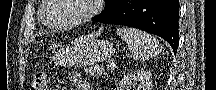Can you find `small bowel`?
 Segmentation results:
<instances>
[{
  "instance_id": "small-bowel-1",
  "label": "small bowel",
  "mask_w": 216,
  "mask_h": 90,
  "mask_svg": "<svg viewBox=\"0 0 216 90\" xmlns=\"http://www.w3.org/2000/svg\"><path fill=\"white\" fill-rule=\"evenodd\" d=\"M68 80L74 85L75 90H91L90 84L78 71H71L68 75Z\"/></svg>"
}]
</instances>
